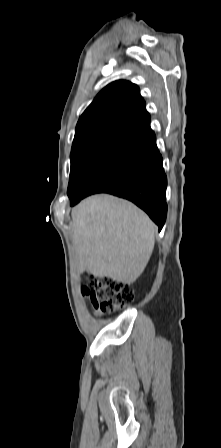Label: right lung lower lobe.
<instances>
[{"label": "right lung lower lobe", "mask_w": 221, "mask_h": 448, "mask_svg": "<svg viewBox=\"0 0 221 448\" xmlns=\"http://www.w3.org/2000/svg\"><path fill=\"white\" fill-rule=\"evenodd\" d=\"M167 178L150 124L115 145L71 200V206L95 193L128 199L162 229L167 215Z\"/></svg>", "instance_id": "right-lung-lower-lobe-1"}]
</instances>
